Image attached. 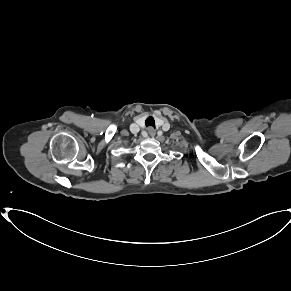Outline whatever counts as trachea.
<instances>
[{
  "mask_svg": "<svg viewBox=\"0 0 291 291\" xmlns=\"http://www.w3.org/2000/svg\"><path fill=\"white\" fill-rule=\"evenodd\" d=\"M145 125L148 127V126H152V127H155V121H154V118L153 117H148L146 120H145Z\"/></svg>",
  "mask_w": 291,
  "mask_h": 291,
  "instance_id": "1",
  "label": "trachea"
}]
</instances>
